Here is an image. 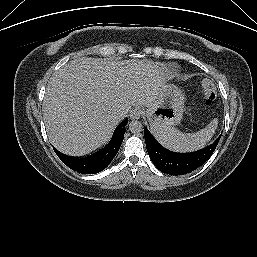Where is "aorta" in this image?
I'll return each instance as SVG.
<instances>
[{
	"label": "aorta",
	"instance_id": "obj_1",
	"mask_svg": "<svg viewBox=\"0 0 257 257\" xmlns=\"http://www.w3.org/2000/svg\"><path fill=\"white\" fill-rule=\"evenodd\" d=\"M129 130L134 134H138L143 130V125L137 120H133L129 123Z\"/></svg>",
	"mask_w": 257,
	"mask_h": 257
}]
</instances>
